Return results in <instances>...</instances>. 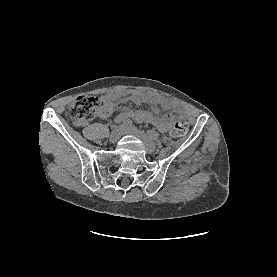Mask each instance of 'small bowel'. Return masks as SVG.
<instances>
[{"label":"small bowel","instance_id":"obj_1","mask_svg":"<svg viewBox=\"0 0 277 277\" xmlns=\"http://www.w3.org/2000/svg\"><path fill=\"white\" fill-rule=\"evenodd\" d=\"M128 96L131 101L136 104L145 103L154 107L153 111H135L126 110L116 117V121L133 119L137 122H147L154 124L159 130L167 131L172 126L175 115L165 113L171 110L174 105L171 101L165 98H160L152 93H140L138 91H129ZM122 93H108L102 96L103 103L102 118H108L115 107V102L122 96Z\"/></svg>","mask_w":277,"mask_h":277}]
</instances>
